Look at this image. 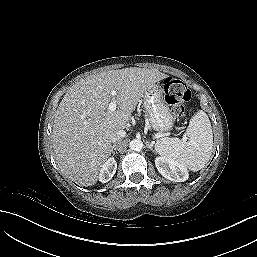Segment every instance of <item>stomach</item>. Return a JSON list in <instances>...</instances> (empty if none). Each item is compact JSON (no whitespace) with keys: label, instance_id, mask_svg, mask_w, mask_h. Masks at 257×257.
<instances>
[{"label":"stomach","instance_id":"0dacf381","mask_svg":"<svg viewBox=\"0 0 257 257\" xmlns=\"http://www.w3.org/2000/svg\"><path fill=\"white\" fill-rule=\"evenodd\" d=\"M142 104L153 130L167 132L172 129L174 117L164 100L163 89L160 85L153 84L144 92Z\"/></svg>","mask_w":257,"mask_h":257}]
</instances>
